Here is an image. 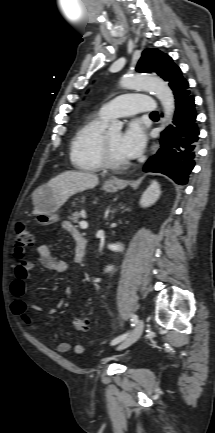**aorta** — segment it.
<instances>
[{
  "label": "aorta",
  "instance_id": "obj_1",
  "mask_svg": "<svg viewBox=\"0 0 215 433\" xmlns=\"http://www.w3.org/2000/svg\"><path fill=\"white\" fill-rule=\"evenodd\" d=\"M120 84L126 89H145L153 91L162 104L165 119L173 116L175 111V100L169 85L159 77L147 74L128 75L121 79ZM109 129L119 132L122 129V123L113 122Z\"/></svg>",
  "mask_w": 215,
  "mask_h": 433
}]
</instances>
